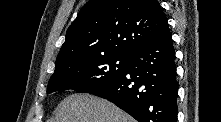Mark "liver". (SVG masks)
<instances>
[{
	"mask_svg": "<svg viewBox=\"0 0 221 122\" xmlns=\"http://www.w3.org/2000/svg\"><path fill=\"white\" fill-rule=\"evenodd\" d=\"M55 122H134V119L108 100L72 94L59 104Z\"/></svg>",
	"mask_w": 221,
	"mask_h": 122,
	"instance_id": "liver-1",
	"label": "liver"
}]
</instances>
